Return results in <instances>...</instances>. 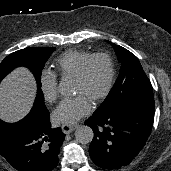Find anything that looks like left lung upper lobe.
<instances>
[{"instance_id": "obj_1", "label": "left lung upper lobe", "mask_w": 171, "mask_h": 171, "mask_svg": "<svg viewBox=\"0 0 171 171\" xmlns=\"http://www.w3.org/2000/svg\"><path fill=\"white\" fill-rule=\"evenodd\" d=\"M109 43L121 62V70L109 95L93 115L109 114L132 105L154 107L152 85L138 58L127 49Z\"/></svg>"}]
</instances>
